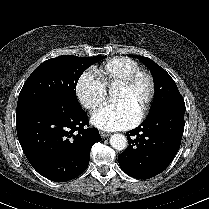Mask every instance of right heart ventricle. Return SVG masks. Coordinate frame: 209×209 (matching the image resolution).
<instances>
[{"mask_svg":"<svg viewBox=\"0 0 209 209\" xmlns=\"http://www.w3.org/2000/svg\"><path fill=\"white\" fill-rule=\"evenodd\" d=\"M138 68V63L131 58L115 57L98 67L96 73L106 88L111 89Z\"/></svg>","mask_w":209,"mask_h":209,"instance_id":"e07e8e85","label":"right heart ventricle"}]
</instances>
